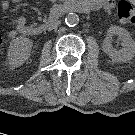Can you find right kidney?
<instances>
[{"mask_svg":"<svg viewBox=\"0 0 135 135\" xmlns=\"http://www.w3.org/2000/svg\"><path fill=\"white\" fill-rule=\"evenodd\" d=\"M32 41L20 36L13 39L8 49V62L11 68L21 66L30 56Z\"/></svg>","mask_w":135,"mask_h":135,"instance_id":"obj_1","label":"right kidney"}]
</instances>
